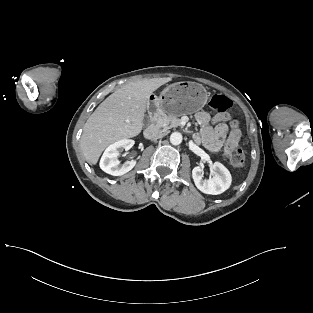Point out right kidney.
Listing matches in <instances>:
<instances>
[{
	"mask_svg": "<svg viewBox=\"0 0 313 313\" xmlns=\"http://www.w3.org/2000/svg\"><path fill=\"white\" fill-rule=\"evenodd\" d=\"M133 145L134 140L123 139L108 146L101 157L100 168L113 176H121L129 172L136 165V161H127L121 165L117 157L120 155V152L129 150Z\"/></svg>",
	"mask_w": 313,
	"mask_h": 313,
	"instance_id": "obj_1",
	"label": "right kidney"
}]
</instances>
